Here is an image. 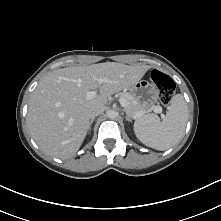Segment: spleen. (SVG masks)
I'll return each mask as SVG.
<instances>
[{
    "mask_svg": "<svg viewBox=\"0 0 221 221\" xmlns=\"http://www.w3.org/2000/svg\"><path fill=\"white\" fill-rule=\"evenodd\" d=\"M187 120V103L182 94H176L162 121L155 114H147L135 121L134 131L143 144L164 151L180 142Z\"/></svg>",
    "mask_w": 221,
    "mask_h": 221,
    "instance_id": "3e777b00",
    "label": "spleen"
}]
</instances>
